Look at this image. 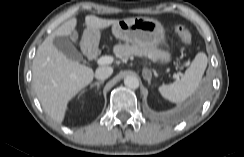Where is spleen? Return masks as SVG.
Returning <instances> with one entry per match:
<instances>
[{"mask_svg": "<svg viewBox=\"0 0 244 157\" xmlns=\"http://www.w3.org/2000/svg\"><path fill=\"white\" fill-rule=\"evenodd\" d=\"M207 62L206 54L199 52L180 80L158 88L162 97L173 103L185 101L198 88L207 67Z\"/></svg>", "mask_w": 244, "mask_h": 157, "instance_id": "spleen-1", "label": "spleen"}]
</instances>
